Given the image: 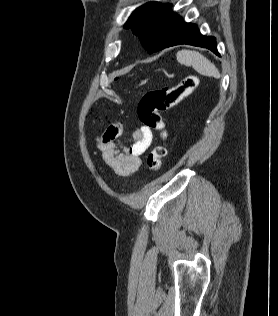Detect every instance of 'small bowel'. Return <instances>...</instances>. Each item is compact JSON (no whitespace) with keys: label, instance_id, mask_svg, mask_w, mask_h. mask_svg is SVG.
<instances>
[{"label":"small bowel","instance_id":"obj_1","mask_svg":"<svg viewBox=\"0 0 278 316\" xmlns=\"http://www.w3.org/2000/svg\"><path fill=\"white\" fill-rule=\"evenodd\" d=\"M123 126L120 122L110 124L98 138L97 147L104 163L123 178L134 174L141 166V155L150 147L153 132L142 125L132 132V143L124 144L120 137Z\"/></svg>","mask_w":278,"mask_h":316}]
</instances>
